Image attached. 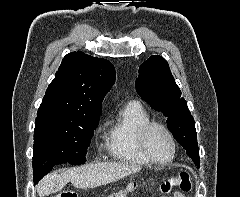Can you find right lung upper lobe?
<instances>
[{
    "instance_id": "1",
    "label": "right lung upper lobe",
    "mask_w": 240,
    "mask_h": 197,
    "mask_svg": "<svg viewBox=\"0 0 240 197\" xmlns=\"http://www.w3.org/2000/svg\"><path fill=\"white\" fill-rule=\"evenodd\" d=\"M114 82L115 69L108 60L71 52L63 58L37 115L100 117L102 100Z\"/></svg>"
}]
</instances>
